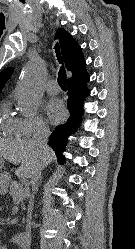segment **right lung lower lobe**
Returning a JSON list of instances; mask_svg holds the SVG:
<instances>
[{"instance_id":"98d812e1","label":"right lung lower lobe","mask_w":135,"mask_h":249,"mask_svg":"<svg viewBox=\"0 0 135 249\" xmlns=\"http://www.w3.org/2000/svg\"><path fill=\"white\" fill-rule=\"evenodd\" d=\"M89 80L90 76L87 74L82 79L67 82V107L70 116L64 124L56 127L49 139V145L52 146L59 160L64 159L62 152L65 149L66 137L69 136L80 123V116L83 114V101L86 96L90 95V91L86 87V83H88Z\"/></svg>"}]
</instances>
